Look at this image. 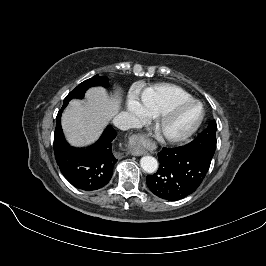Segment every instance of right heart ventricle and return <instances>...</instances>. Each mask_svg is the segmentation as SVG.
<instances>
[{"label": "right heart ventricle", "mask_w": 266, "mask_h": 266, "mask_svg": "<svg viewBox=\"0 0 266 266\" xmlns=\"http://www.w3.org/2000/svg\"><path fill=\"white\" fill-rule=\"evenodd\" d=\"M192 96L176 85L157 84L142 92V103L150 116H159L174 105L191 100Z\"/></svg>", "instance_id": "1"}]
</instances>
